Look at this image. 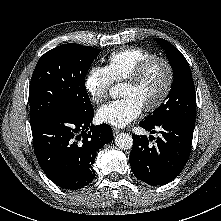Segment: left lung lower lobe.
Masks as SVG:
<instances>
[{
	"label": "left lung lower lobe",
	"mask_w": 221,
	"mask_h": 221,
	"mask_svg": "<svg viewBox=\"0 0 221 221\" xmlns=\"http://www.w3.org/2000/svg\"><path fill=\"white\" fill-rule=\"evenodd\" d=\"M139 125L151 134L159 128L161 137L152 146L153 136L132 135L131 170L149 185H165L180 174L189 159L195 121L175 118L152 124L144 120Z\"/></svg>",
	"instance_id": "obj_1"
}]
</instances>
